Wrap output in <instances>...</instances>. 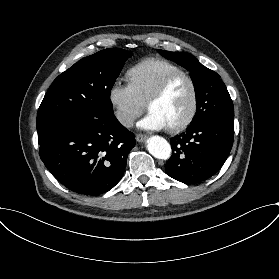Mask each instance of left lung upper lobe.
I'll return each instance as SVG.
<instances>
[{"mask_svg":"<svg viewBox=\"0 0 279 279\" xmlns=\"http://www.w3.org/2000/svg\"><path fill=\"white\" fill-rule=\"evenodd\" d=\"M165 58L175 61L190 72L196 94V114L190 125L203 119L217 118L234 121L231 97L220 76L203 66L194 56L184 52L157 50Z\"/></svg>","mask_w":279,"mask_h":279,"instance_id":"obj_1","label":"left lung upper lobe"}]
</instances>
